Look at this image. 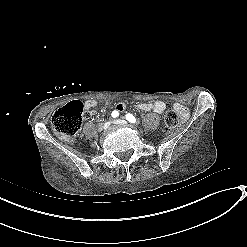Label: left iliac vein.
I'll list each match as a JSON object with an SVG mask.
<instances>
[{"label": "left iliac vein", "instance_id": "obj_1", "mask_svg": "<svg viewBox=\"0 0 247 247\" xmlns=\"http://www.w3.org/2000/svg\"><path fill=\"white\" fill-rule=\"evenodd\" d=\"M114 123H116L118 125H125V124H127V122L125 120H122V119H116L114 121Z\"/></svg>", "mask_w": 247, "mask_h": 247}]
</instances>
